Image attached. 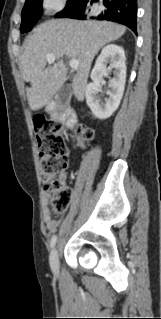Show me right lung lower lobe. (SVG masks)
<instances>
[{
	"instance_id": "1",
	"label": "right lung lower lobe",
	"mask_w": 161,
	"mask_h": 319,
	"mask_svg": "<svg viewBox=\"0 0 161 319\" xmlns=\"http://www.w3.org/2000/svg\"><path fill=\"white\" fill-rule=\"evenodd\" d=\"M103 5V11L97 17H89V7L98 0H80L67 13L61 17L73 19H98L118 22L128 26L136 33L137 0H100Z\"/></svg>"
}]
</instances>
